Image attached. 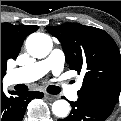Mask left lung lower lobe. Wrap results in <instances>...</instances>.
Segmentation results:
<instances>
[{
	"instance_id": "left-lung-lower-lobe-1",
	"label": "left lung lower lobe",
	"mask_w": 121,
	"mask_h": 121,
	"mask_svg": "<svg viewBox=\"0 0 121 121\" xmlns=\"http://www.w3.org/2000/svg\"><path fill=\"white\" fill-rule=\"evenodd\" d=\"M70 104L72 110L69 116L58 119V121H104L109 116V114L87 105L80 99L76 102H70Z\"/></svg>"
}]
</instances>
